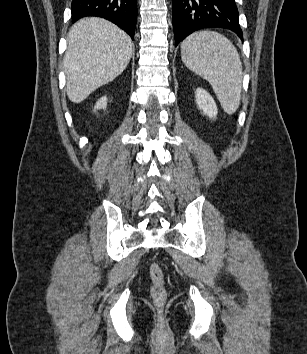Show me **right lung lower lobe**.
I'll list each match as a JSON object with an SVG mask.
<instances>
[{
  "label": "right lung lower lobe",
  "instance_id": "obj_1",
  "mask_svg": "<svg viewBox=\"0 0 307 354\" xmlns=\"http://www.w3.org/2000/svg\"><path fill=\"white\" fill-rule=\"evenodd\" d=\"M73 22L85 16H98L118 25L134 38L137 0H73Z\"/></svg>",
  "mask_w": 307,
  "mask_h": 354
}]
</instances>
